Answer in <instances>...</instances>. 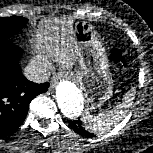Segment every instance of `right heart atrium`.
Returning a JSON list of instances; mask_svg holds the SVG:
<instances>
[{"mask_svg":"<svg viewBox=\"0 0 153 153\" xmlns=\"http://www.w3.org/2000/svg\"><path fill=\"white\" fill-rule=\"evenodd\" d=\"M33 63L39 68H43V69H46L49 66L48 61L43 55H36L33 58Z\"/></svg>","mask_w":153,"mask_h":153,"instance_id":"d8ad5b80","label":"right heart atrium"}]
</instances>
